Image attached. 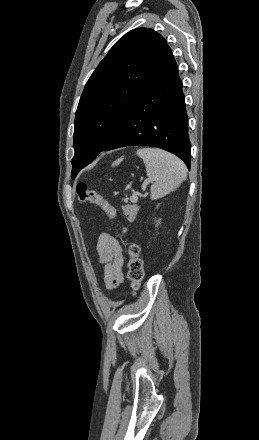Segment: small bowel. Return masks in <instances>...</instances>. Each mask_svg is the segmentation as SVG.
I'll return each instance as SVG.
<instances>
[{
  "instance_id": "small-bowel-1",
  "label": "small bowel",
  "mask_w": 259,
  "mask_h": 440,
  "mask_svg": "<svg viewBox=\"0 0 259 440\" xmlns=\"http://www.w3.org/2000/svg\"><path fill=\"white\" fill-rule=\"evenodd\" d=\"M98 262L103 266V278L108 289L123 282L124 254L120 242L109 233H102L97 242Z\"/></svg>"
}]
</instances>
